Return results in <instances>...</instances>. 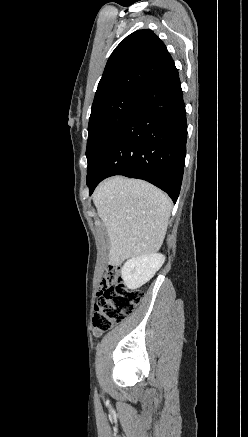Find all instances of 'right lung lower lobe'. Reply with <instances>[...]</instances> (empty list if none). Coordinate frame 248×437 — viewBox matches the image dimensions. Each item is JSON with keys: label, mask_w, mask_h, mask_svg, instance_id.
<instances>
[{"label": "right lung lower lobe", "mask_w": 248, "mask_h": 437, "mask_svg": "<svg viewBox=\"0 0 248 437\" xmlns=\"http://www.w3.org/2000/svg\"><path fill=\"white\" fill-rule=\"evenodd\" d=\"M187 122L178 70L172 61L135 99L87 174L90 195L113 175L146 180L176 202L186 155Z\"/></svg>", "instance_id": "98d812e1"}]
</instances>
